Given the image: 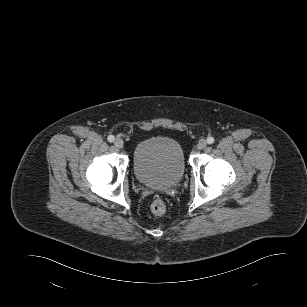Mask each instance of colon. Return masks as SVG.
<instances>
[{
  "label": "colon",
  "instance_id": "colon-1",
  "mask_svg": "<svg viewBox=\"0 0 307 307\" xmlns=\"http://www.w3.org/2000/svg\"><path fill=\"white\" fill-rule=\"evenodd\" d=\"M151 211L157 216L163 215L166 211L165 202L160 198H156L151 204Z\"/></svg>",
  "mask_w": 307,
  "mask_h": 307
}]
</instances>
